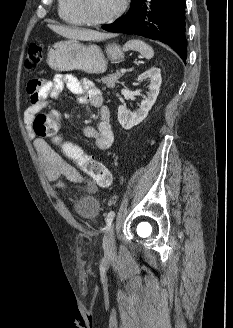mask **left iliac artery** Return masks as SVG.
I'll use <instances>...</instances> for the list:
<instances>
[{
  "label": "left iliac artery",
  "instance_id": "1",
  "mask_svg": "<svg viewBox=\"0 0 233 328\" xmlns=\"http://www.w3.org/2000/svg\"><path fill=\"white\" fill-rule=\"evenodd\" d=\"M114 217H115V212L114 211H111V212L108 213V215L106 217L107 226H111V223H112Z\"/></svg>",
  "mask_w": 233,
  "mask_h": 328
}]
</instances>
